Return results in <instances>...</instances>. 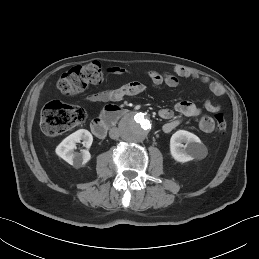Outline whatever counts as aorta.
I'll list each match as a JSON object with an SVG mask.
<instances>
[{
  "mask_svg": "<svg viewBox=\"0 0 259 259\" xmlns=\"http://www.w3.org/2000/svg\"><path fill=\"white\" fill-rule=\"evenodd\" d=\"M150 129L151 123L143 114L129 115L121 124L123 139L133 143L143 141Z\"/></svg>",
  "mask_w": 259,
  "mask_h": 259,
  "instance_id": "aorta-1",
  "label": "aorta"
}]
</instances>
